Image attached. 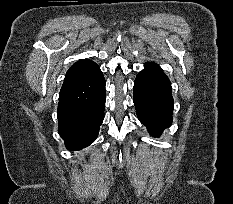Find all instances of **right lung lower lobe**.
Masks as SVG:
<instances>
[{
  "label": "right lung lower lobe",
  "instance_id": "right-lung-lower-lobe-1",
  "mask_svg": "<svg viewBox=\"0 0 233 204\" xmlns=\"http://www.w3.org/2000/svg\"><path fill=\"white\" fill-rule=\"evenodd\" d=\"M105 80L96 66L66 81L59 95L58 132L69 150H80L97 138L104 119Z\"/></svg>",
  "mask_w": 233,
  "mask_h": 204
}]
</instances>
